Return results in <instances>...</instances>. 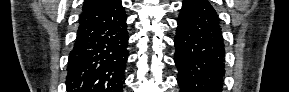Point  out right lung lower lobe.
<instances>
[{"label":"right lung lower lobe","mask_w":289,"mask_h":92,"mask_svg":"<svg viewBox=\"0 0 289 92\" xmlns=\"http://www.w3.org/2000/svg\"><path fill=\"white\" fill-rule=\"evenodd\" d=\"M128 32L121 0L83 10L69 55L68 92H122Z\"/></svg>","instance_id":"right-lung-lower-lobe-1"}]
</instances>
